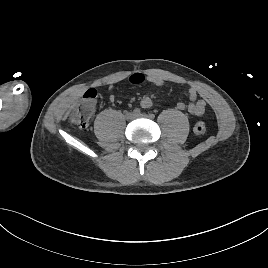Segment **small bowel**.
<instances>
[{
	"label": "small bowel",
	"instance_id": "1",
	"mask_svg": "<svg viewBox=\"0 0 268 268\" xmlns=\"http://www.w3.org/2000/svg\"><path fill=\"white\" fill-rule=\"evenodd\" d=\"M149 82L155 87H161L164 85L165 80L157 75L148 74L144 75L142 73H134L128 78V82L131 84H141L143 82ZM108 87L111 89L113 84H109ZM190 103L186 104L184 102H178L177 108L179 110H187L192 116L199 117L202 116L206 109V102L203 99H198V91L191 87L187 91ZM112 101L116 100V97H111ZM141 107L148 109L153 105L151 97L144 96L141 100Z\"/></svg>",
	"mask_w": 268,
	"mask_h": 268
}]
</instances>
